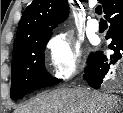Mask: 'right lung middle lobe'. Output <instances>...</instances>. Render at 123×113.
I'll use <instances>...</instances> for the list:
<instances>
[{"instance_id":"dd1d6c3e","label":"right lung middle lobe","mask_w":123,"mask_h":113,"mask_svg":"<svg viewBox=\"0 0 123 113\" xmlns=\"http://www.w3.org/2000/svg\"><path fill=\"white\" fill-rule=\"evenodd\" d=\"M50 36L51 34L26 41L13 50L10 91L13 100L61 81L45 69L44 51Z\"/></svg>"}]
</instances>
